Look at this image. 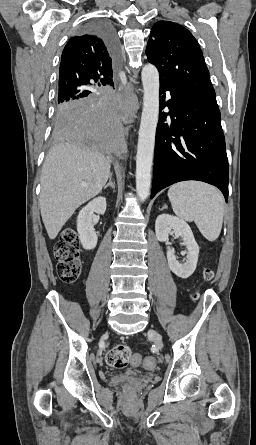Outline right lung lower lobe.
Listing matches in <instances>:
<instances>
[{"mask_svg":"<svg viewBox=\"0 0 256 445\" xmlns=\"http://www.w3.org/2000/svg\"><path fill=\"white\" fill-rule=\"evenodd\" d=\"M86 29L98 33L118 60L119 46L114 31L107 23H90ZM54 131L59 139L91 148L109 158L118 159L125 151L118 117V98L114 94L74 96L56 109Z\"/></svg>","mask_w":256,"mask_h":445,"instance_id":"right-lung-lower-lobe-1","label":"right lung lower lobe"}]
</instances>
